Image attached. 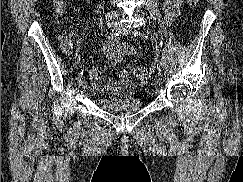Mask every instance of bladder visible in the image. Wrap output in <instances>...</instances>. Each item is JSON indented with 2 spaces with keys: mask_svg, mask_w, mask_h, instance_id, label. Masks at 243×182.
Segmentation results:
<instances>
[{
  "mask_svg": "<svg viewBox=\"0 0 243 182\" xmlns=\"http://www.w3.org/2000/svg\"><path fill=\"white\" fill-rule=\"evenodd\" d=\"M100 107L111 114H129L139 111L142 108V101L138 96H126L118 99L101 97Z\"/></svg>",
  "mask_w": 243,
  "mask_h": 182,
  "instance_id": "obj_1",
  "label": "bladder"
}]
</instances>
